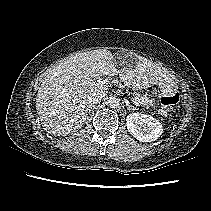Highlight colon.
<instances>
[{"mask_svg":"<svg viewBox=\"0 0 211 211\" xmlns=\"http://www.w3.org/2000/svg\"><path fill=\"white\" fill-rule=\"evenodd\" d=\"M180 96L178 93L163 96L161 98V104L163 108L167 111H171L173 106H175L179 102Z\"/></svg>","mask_w":211,"mask_h":211,"instance_id":"5ec220e1","label":"colon"}]
</instances>
